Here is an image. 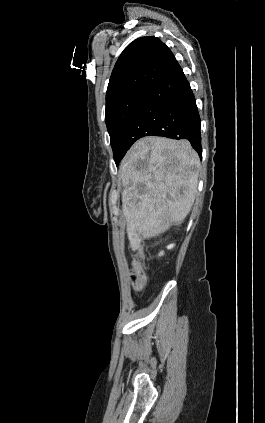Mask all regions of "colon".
<instances>
[{
    "label": "colon",
    "instance_id": "colon-1",
    "mask_svg": "<svg viewBox=\"0 0 265 423\" xmlns=\"http://www.w3.org/2000/svg\"><path fill=\"white\" fill-rule=\"evenodd\" d=\"M131 279L136 291L140 292L145 288L147 284V276L139 263L133 269Z\"/></svg>",
    "mask_w": 265,
    "mask_h": 423
}]
</instances>
